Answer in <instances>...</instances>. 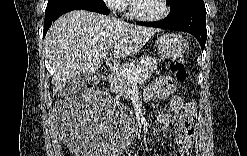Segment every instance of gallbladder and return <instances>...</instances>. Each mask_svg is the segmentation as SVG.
Instances as JSON below:
<instances>
[{"instance_id":"obj_1","label":"gallbladder","mask_w":247,"mask_h":156,"mask_svg":"<svg viewBox=\"0 0 247 156\" xmlns=\"http://www.w3.org/2000/svg\"><path fill=\"white\" fill-rule=\"evenodd\" d=\"M90 74L89 75H78L76 78L69 82L63 89V94L70 95L73 93L78 86L84 85L87 83V81L90 79Z\"/></svg>"}]
</instances>
